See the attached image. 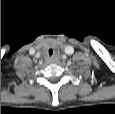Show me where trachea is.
Segmentation results:
<instances>
[{"mask_svg":"<svg viewBox=\"0 0 115 114\" xmlns=\"http://www.w3.org/2000/svg\"><path fill=\"white\" fill-rule=\"evenodd\" d=\"M49 55L51 56L53 54V50L52 49H49Z\"/></svg>","mask_w":115,"mask_h":114,"instance_id":"obj_1","label":"trachea"}]
</instances>
